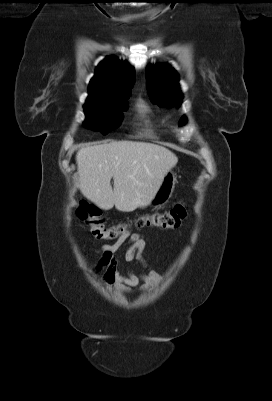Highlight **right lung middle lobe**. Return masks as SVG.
<instances>
[{
	"mask_svg": "<svg viewBox=\"0 0 272 401\" xmlns=\"http://www.w3.org/2000/svg\"><path fill=\"white\" fill-rule=\"evenodd\" d=\"M129 95L130 93L87 99L84 105L86 115L84 125L103 134L116 129L121 122L122 111L126 110V98Z\"/></svg>",
	"mask_w": 272,
	"mask_h": 401,
	"instance_id": "1",
	"label": "right lung middle lobe"
}]
</instances>
